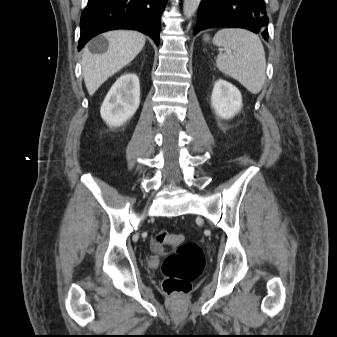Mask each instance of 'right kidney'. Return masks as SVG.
I'll return each mask as SVG.
<instances>
[{"instance_id": "ca27d5eb", "label": "right kidney", "mask_w": 337, "mask_h": 337, "mask_svg": "<svg viewBox=\"0 0 337 337\" xmlns=\"http://www.w3.org/2000/svg\"><path fill=\"white\" fill-rule=\"evenodd\" d=\"M139 104V78L134 73H125L107 93L100 114L109 126H121L135 114Z\"/></svg>"}]
</instances>
